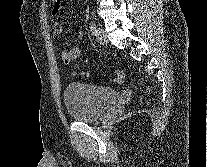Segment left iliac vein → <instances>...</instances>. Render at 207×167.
<instances>
[{
	"instance_id": "left-iliac-vein-1",
	"label": "left iliac vein",
	"mask_w": 207,
	"mask_h": 167,
	"mask_svg": "<svg viewBox=\"0 0 207 167\" xmlns=\"http://www.w3.org/2000/svg\"><path fill=\"white\" fill-rule=\"evenodd\" d=\"M96 38H97L98 42L102 45H106L108 43L106 35H105L104 31L101 28H97Z\"/></svg>"
}]
</instances>
